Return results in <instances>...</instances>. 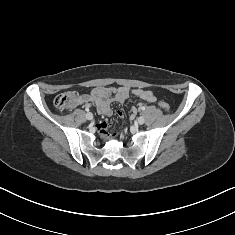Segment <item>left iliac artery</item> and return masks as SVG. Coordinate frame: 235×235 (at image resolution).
Returning a JSON list of instances; mask_svg holds the SVG:
<instances>
[{"instance_id":"left-iliac-artery-1","label":"left iliac artery","mask_w":235,"mask_h":235,"mask_svg":"<svg viewBox=\"0 0 235 235\" xmlns=\"http://www.w3.org/2000/svg\"><path fill=\"white\" fill-rule=\"evenodd\" d=\"M140 110H142V111L145 110V107H144V106H141V107H140Z\"/></svg>"}]
</instances>
